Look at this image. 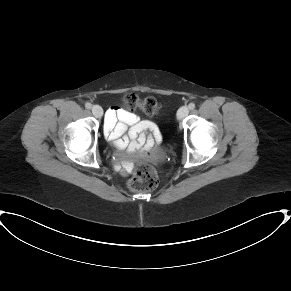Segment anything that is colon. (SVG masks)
Returning <instances> with one entry per match:
<instances>
[{
  "instance_id": "1",
  "label": "colon",
  "mask_w": 291,
  "mask_h": 291,
  "mask_svg": "<svg viewBox=\"0 0 291 291\" xmlns=\"http://www.w3.org/2000/svg\"><path fill=\"white\" fill-rule=\"evenodd\" d=\"M123 104L128 109L140 108L151 116L157 115L160 111L159 103L152 97L141 99L135 94H129L123 99ZM158 183L155 170L146 164L138 163L129 182V188L134 192H148L155 189Z\"/></svg>"
}]
</instances>
